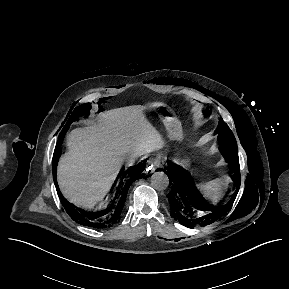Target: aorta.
Returning a JSON list of instances; mask_svg holds the SVG:
<instances>
[{
  "label": "aorta",
  "mask_w": 289,
  "mask_h": 289,
  "mask_svg": "<svg viewBox=\"0 0 289 289\" xmlns=\"http://www.w3.org/2000/svg\"><path fill=\"white\" fill-rule=\"evenodd\" d=\"M150 181L151 186L156 190H165L169 186L168 176L161 171L153 173Z\"/></svg>",
  "instance_id": "aorta-1"
}]
</instances>
